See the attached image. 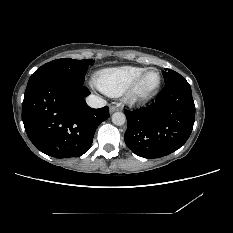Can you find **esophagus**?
I'll list each match as a JSON object with an SVG mask.
<instances>
[{"label": "esophagus", "instance_id": "esophagus-1", "mask_svg": "<svg viewBox=\"0 0 233 233\" xmlns=\"http://www.w3.org/2000/svg\"><path fill=\"white\" fill-rule=\"evenodd\" d=\"M120 108L118 106L115 105H111L109 108L110 113L116 112L118 111Z\"/></svg>", "mask_w": 233, "mask_h": 233}]
</instances>
